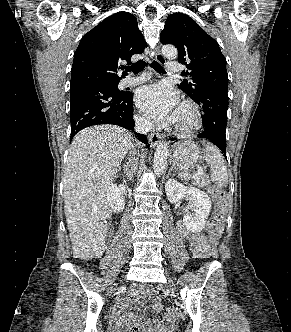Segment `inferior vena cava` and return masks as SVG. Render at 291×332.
Segmentation results:
<instances>
[{"label":"inferior vena cava","instance_id":"inferior-vena-cava-1","mask_svg":"<svg viewBox=\"0 0 291 332\" xmlns=\"http://www.w3.org/2000/svg\"><path fill=\"white\" fill-rule=\"evenodd\" d=\"M152 123L146 119L143 118H135V130L139 133L146 134L152 129ZM134 154V151L133 153ZM131 156V152H130ZM137 164V160L135 157L129 158V161L126 165V175L129 178V180L133 177L136 171L135 165Z\"/></svg>","mask_w":291,"mask_h":332}]
</instances>
